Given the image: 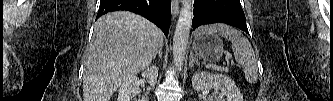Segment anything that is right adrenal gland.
I'll return each mask as SVG.
<instances>
[{
    "label": "right adrenal gland",
    "instance_id": "1",
    "mask_svg": "<svg viewBox=\"0 0 333 101\" xmlns=\"http://www.w3.org/2000/svg\"><path fill=\"white\" fill-rule=\"evenodd\" d=\"M157 54L159 55L160 58H162V49L158 50V52L154 55L153 59L156 58Z\"/></svg>",
    "mask_w": 333,
    "mask_h": 101
}]
</instances>
